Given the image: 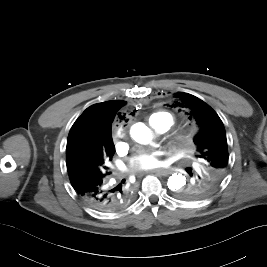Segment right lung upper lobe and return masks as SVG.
I'll return each mask as SVG.
<instances>
[{"label":"right lung upper lobe","instance_id":"obj_1","mask_svg":"<svg viewBox=\"0 0 267 267\" xmlns=\"http://www.w3.org/2000/svg\"><path fill=\"white\" fill-rule=\"evenodd\" d=\"M122 104L123 101L115 100L88 107L69 132L66 152L78 150L85 144H99L111 138V123Z\"/></svg>","mask_w":267,"mask_h":267}]
</instances>
